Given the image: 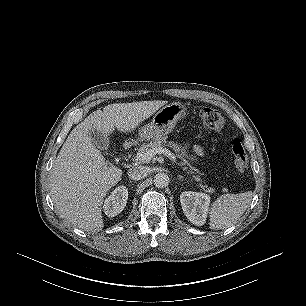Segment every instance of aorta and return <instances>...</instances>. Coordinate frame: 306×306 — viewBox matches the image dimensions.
I'll list each match as a JSON object with an SVG mask.
<instances>
[{
    "mask_svg": "<svg viewBox=\"0 0 306 306\" xmlns=\"http://www.w3.org/2000/svg\"><path fill=\"white\" fill-rule=\"evenodd\" d=\"M153 182L157 188H164L169 184V177L165 173H158L154 176Z\"/></svg>",
    "mask_w": 306,
    "mask_h": 306,
    "instance_id": "762f6f07",
    "label": "aorta"
}]
</instances>
